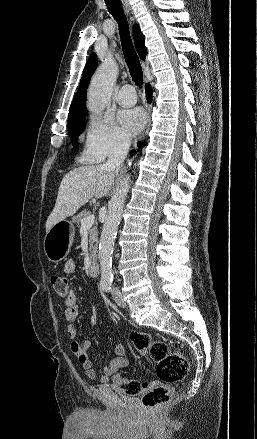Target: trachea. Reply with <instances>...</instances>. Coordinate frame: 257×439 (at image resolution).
Returning a JSON list of instances; mask_svg holds the SVG:
<instances>
[{"label": "trachea", "mask_w": 257, "mask_h": 439, "mask_svg": "<svg viewBox=\"0 0 257 439\" xmlns=\"http://www.w3.org/2000/svg\"><path fill=\"white\" fill-rule=\"evenodd\" d=\"M105 3L108 11L118 23L122 50L131 77L135 84L141 87L143 84V71L131 40L128 22L122 4L120 0H105Z\"/></svg>", "instance_id": "obj_1"}]
</instances>
